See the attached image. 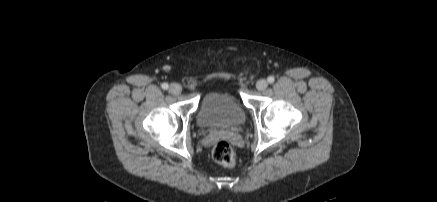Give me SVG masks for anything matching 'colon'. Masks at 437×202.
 Returning a JSON list of instances; mask_svg holds the SVG:
<instances>
[{
  "label": "colon",
  "mask_w": 437,
  "mask_h": 202,
  "mask_svg": "<svg viewBox=\"0 0 437 202\" xmlns=\"http://www.w3.org/2000/svg\"><path fill=\"white\" fill-rule=\"evenodd\" d=\"M212 157L217 163L226 167H233L236 163L234 149L226 141H220L214 146Z\"/></svg>",
  "instance_id": "1"
}]
</instances>
